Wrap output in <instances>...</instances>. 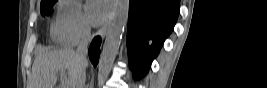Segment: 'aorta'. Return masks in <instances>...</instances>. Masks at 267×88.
<instances>
[{"mask_svg":"<svg viewBox=\"0 0 267 88\" xmlns=\"http://www.w3.org/2000/svg\"><path fill=\"white\" fill-rule=\"evenodd\" d=\"M129 0H116L98 65V86L107 80L119 50L124 27L128 20Z\"/></svg>","mask_w":267,"mask_h":88,"instance_id":"1","label":"aorta"}]
</instances>
